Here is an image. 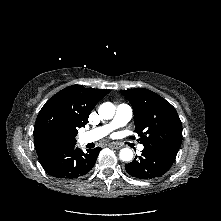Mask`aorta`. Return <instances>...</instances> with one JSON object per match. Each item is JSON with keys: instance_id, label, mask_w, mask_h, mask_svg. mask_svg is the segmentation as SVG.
I'll return each instance as SVG.
<instances>
[{"instance_id": "762f6f07", "label": "aorta", "mask_w": 221, "mask_h": 221, "mask_svg": "<svg viewBox=\"0 0 221 221\" xmlns=\"http://www.w3.org/2000/svg\"><path fill=\"white\" fill-rule=\"evenodd\" d=\"M98 113L102 119H112L115 115V105L111 102H105L100 105ZM119 156L122 161H130L133 158V151L129 148H123Z\"/></svg>"}]
</instances>
